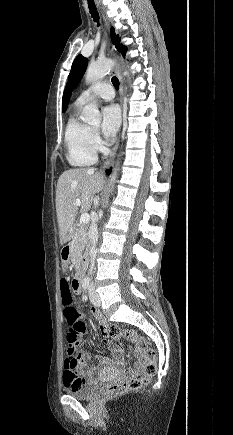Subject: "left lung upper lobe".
I'll return each instance as SVG.
<instances>
[{
    "label": "left lung upper lobe",
    "instance_id": "obj_1",
    "mask_svg": "<svg viewBox=\"0 0 233 435\" xmlns=\"http://www.w3.org/2000/svg\"><path fill=\"white\" fill-rule=\"evenodd\" d=\"M111 38H112V42L116 46V49L120 51L123 56H125L126 47L120 44L119 36L115 34L114 28H111ZM87 64H88V60L84 58L82 55H78L75 58L71 67L70 74L68 76V82L66 84V88L63 93V100H62L63 112L66 110L68 106V102L72 90L78 85L83 74L85 73Z\"/></svg>",
    "mask_w": 233,
    "mask_h": 435
}]
</instances>
